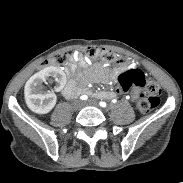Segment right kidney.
I'll return each instance as SVG.
<instances>
[{"mask_svg": "<svg viewBox=\"0 0 183 183\" xmlns=\"http://www.w3.org/2000/svg\"><path fill=\"white\" fill-rule=\"evenodd\" d=\"M55 80L58 89H62L66 83L65 73L57 67H46L34 74L25 85V101L28 108L37 114H47L56 104V95L53 92H45L43 82Z\"/></svg>", "mask_w": 183, "mask_h": 183, "instance_id": "ca27d5eb", "label": "right kidney"}]
</instances>
